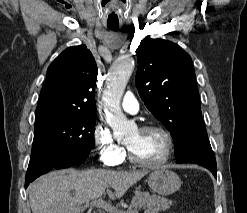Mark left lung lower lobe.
Wrapping results in <instances>:
<instances>
[{
	"label": "left lung lower lobe",
	"instance_id": "left-lung-lower-lobe-1",
	"mask_svg": "<svg viewBox=\"0 0 247 213\" xmlns=\"http://www.w3.org/2000/svg\"><path fill=\"white\" fill-rule=\"evenodd\" d=\"M177 157V163H194L209 169L215 177L216 160L208 136H196Z\"/></svg>",
	"mask_w": 247,
	"mask_h": 213
}]
</instances>
